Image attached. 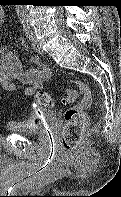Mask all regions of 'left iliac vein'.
Segmentation results:
<instances>
[{
	"label": "left iliac vein",
	"instance_id": "4c4485c4",
	"mask_svg": "<svg viewBox=\"0 0 121 197\" xmlns=\"http://www.w3.org/2000/svg\"><path fill=\"white\" fill-rule=\"evenodd\" d=\"M32 46L34 50L38 53H43L42 47L40 46L39 42L36 39L35 34L32 32Z\"/></svg>",
	"mask_w": 121,
	"mask_h": 197
}]
</instances>
